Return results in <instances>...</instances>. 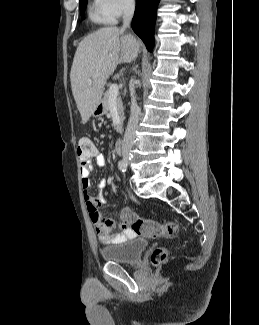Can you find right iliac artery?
<instances>
[{
    "instance_id": "1",
    "label": "right iliac artery",
    "mask_w": 259,
    "mask_h": 325,
    "mask_svg": "<svg viewBox=\"0 0 259 325\" xmlns=\"http://www.w3.org/2000/svg\"><path fill=\"white\" fill-rule=\"evenodd\" d=\"M122 165H127V162L125 161V160H120L119 162H118V168L121 170V166Z\"/></svg>"
}]
</instances>
